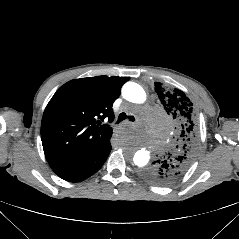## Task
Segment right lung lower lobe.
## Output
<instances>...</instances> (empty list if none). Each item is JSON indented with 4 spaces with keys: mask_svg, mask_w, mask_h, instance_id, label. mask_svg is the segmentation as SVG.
<instances>
[{
    "mask_svg": "<svg viewBox=\"0 0 239 239\" xmlns=\"http://www.w3.org/2000/svg\"><path fill=\"white\" fill-rule=\"evenodd\" d=\"M110 138L111 135L90 155L56 174L69 182H80L87 179L96 173L106 161L112 149Z\"/></svg>",
    "mask_w": 239,
    "mask_h": 239,
    "instance_id": "right-lung-lower-lobe-1",
    "label": "right lung lower lobe"
}]
</instances>
